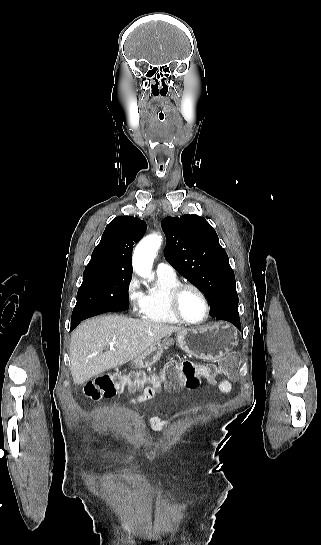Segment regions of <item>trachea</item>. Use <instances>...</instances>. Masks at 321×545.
<instances>
[{"label":"trachea","instance_id":"obj_1","mask_svg":"<svg viewBox=\"0 0 321 545\" xmlns=\"http://www.w3.org/2000/svg\"><path fill=\"white\" fill-rule=\"evenodd\" d=\"M158 118H159V120H158L159 123L162 124V123H164V121H165V119H166V114H165V113H160V114L158 115Z\"/></svg>","mask_w":321,"mask_h":545}]
</instances>
